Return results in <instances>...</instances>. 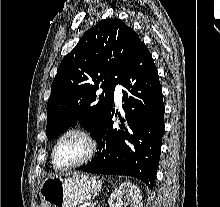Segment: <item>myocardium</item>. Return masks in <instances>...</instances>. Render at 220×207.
<instances>
[{"label":"myocardium","mask_w":220,"mask_h":207,"mask_svg":"<svg viewBox=\"0 0 220 207\" xmlns=\"http://www.w3.org/2000/svg\"><path fill=\"white\" fill-rule=\"evenodd\" d=\"M69 135H78L82 137L87 142L88 150H87L86 155L79 161L74 162L72 164L60 166L57 164L56 158H55L56 149L58 145L60 144V142ZM97 150H98V142L96 138L91 134V132H89L87 129L83 127H71L63 131L56 138L53 144L52 150H51V161H52L53 166L58 170H70V169L82 166L86 164L87 162H89L96 155Z\"/></svg>","instance_id":"f54148a6"}]
</instances>
